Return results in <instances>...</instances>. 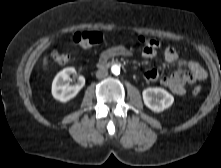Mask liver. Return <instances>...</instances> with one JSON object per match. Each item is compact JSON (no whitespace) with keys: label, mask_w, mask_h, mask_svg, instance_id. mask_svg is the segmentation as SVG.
<instances>
[{"label":"liver","mask_w":221,"mask_h":168,"mask_svg":"<svg viewBox=\"0 0 221 168\" xmlns=\"http://www.w3.org/2000/svg\"><path fill=\"white\" fill-rule=\"evenodd\" d=\"M48 64V55H46L43 59V68L45 69L46 65Z\"/></svg>","instance_id":"1"}]
</instances>
